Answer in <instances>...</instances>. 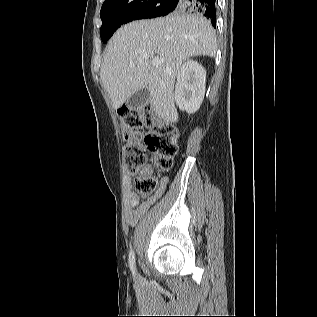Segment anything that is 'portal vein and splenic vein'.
I'll return each instance as SVG.
<instances>
[{
	"label": "portal vein and splenic vein",
	"mask_w": 317,
	"mask_h": 317,
	"mask_svg": "<svg viewBox=\"0 0 317 317\" xmlns=\"http://www.w3.org/2000/svg\"><path fill=\"white\" fill-rule=\"evenodd\" d=\"M161 63V60L159 59V58H154L153 60H152V65L153 66H157V65H159Z\"/></svg>",
	"instance_id": "obj_1"
}]
</instances>
